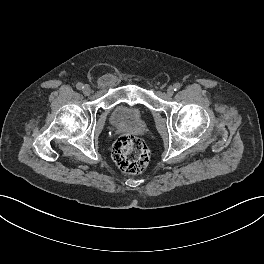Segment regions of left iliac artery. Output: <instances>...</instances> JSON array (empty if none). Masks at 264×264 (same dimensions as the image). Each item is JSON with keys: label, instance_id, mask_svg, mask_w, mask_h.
I'll return each instance as SVG.
<instances>
[{"label": "left iliac artery", "instance_id": "obj_1", "mask_svg": "<svg viewBox=\"0 0 264 264\" xmlns=\"http://www.w3.org/2000/svg\"><path fill=\"white\" fill-rule=\"evenodd\" d=\"M173 88H174V91H177V90H179L181 88V85L179 83H175L173 85Z\"/></svg>", "mask_w": 264, "mask_h": 264}]
</instances>
